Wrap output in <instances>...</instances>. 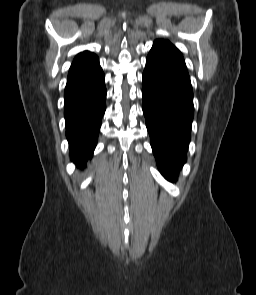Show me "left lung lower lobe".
I'll return each mask as SVG.
<instances>
[{"label": "left lung lower lobe", "mask_w": 256, "mask_h": 295, "mask_svg": "<svg viewBox=\"0 0 256 295\" xmlns=\"http://www.w3.org/2000/svg\"><path fill=\"white\" fill-rule=\"evenodd\" d=\"M142 109L161 174L175 181L186 162L194 115L189 77L146 63Z\"/></svg>", "instance_id": "1"}]
</instances>
